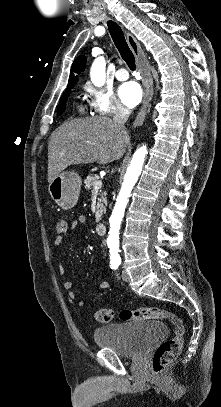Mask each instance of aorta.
Listing matches in <instances>:
<instances>
[{"label": "aorta", "instance_id": "762f6f07", "mask_svg": "<svg viewBox=\"0 0 221 407\" xmlns=\"http://www.w3.org/2000/svg\"><path fill=\"white\" fill-rule=\"evenodd\" d=\"M106 62L103 57H98L92 64L90 70L91 81L95 86H102L105 83ZM147 154V147L143 145L138 148L127 168L124 180L116 199V203L109 219L110 230L107 238V245L110 251L111 261H120L119 256V230L123 219L127 203L133 187L135 186L144 164Z\"/></svg>", "mask_w": 221, "mask_h": 407}]
</instances>
